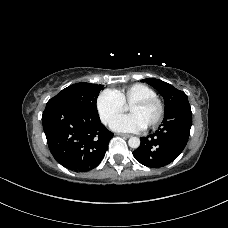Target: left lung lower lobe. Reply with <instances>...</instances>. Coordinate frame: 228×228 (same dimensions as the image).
I'll list each match as a JSON object with an SVG mask.
<instances>
[{
	"mask_svg": "<svg viewBox=\"0 0 228 228\" xmlns=\"http://www.w3.org/2000/svg\"><path fill=\"white\" fill-rule=\"evenodd\" d=\"M181 115H165L163 124L155 133L141 137V144L133 152L135 159L150 168H160L174 161L184 150L192 125L189 103L182 104Z\"/></svg>",
	"mask_w": 228,
	"mask_h": 228,
	"instance_id": "left-lung-lower-lobe-1",
	"label": "left lung lower lobe"
}]
</instances>
